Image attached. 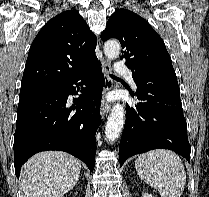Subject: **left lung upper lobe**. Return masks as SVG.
<instances>
[{
    "label": "left lung upper lobe",
    "instance_id": "left-lung-upper-lobe-1",
    "mask_svg": "<svg viewBox=\"0 0 209 197\" xmlns=\"http://www.w3.org/2000/svg\"><path fill=\"white\" fill-rule=\"evenodd\" d=\"M117 38L132 71L135 82L178 85L171 57L161 37L139 15L126 10H116L108 20L101 39Z\"/></svg>",
    "mask_w": 209,
    "mask_h": 197
}]
</instances>
